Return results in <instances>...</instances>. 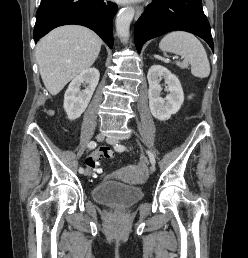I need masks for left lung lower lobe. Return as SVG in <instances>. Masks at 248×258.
I'll use <instances>...</instances> for the list:
<instances>
[{"instance_id": "obj_1", "label": "left lung lower lobe", "mask_w": 248, "mask_h": 258, "mask_svg": "<svg viewBox=\"0 0 248 258\" xmlns=\"http://www.w3.org/2000/svg\"><path fill=\"white\" fill-rule=\"evenodd\" d=\"M173 30H183L201 37L214 51L210 25L201 0H153L135 25L138 53L146 41Z\"/></svg>"}]
</instances>
